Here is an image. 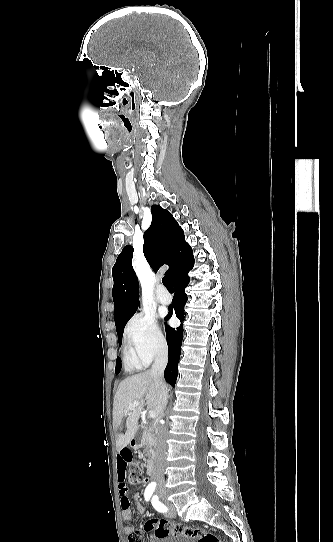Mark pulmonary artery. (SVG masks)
<instances>
[{
  "mask_svg": "<svg viewBox=\"0 0 333 542\" xmlns=\"http://www.w3.org/2000/svg\"><path fill=\"white\" fill-rule=\"evenodd\" d=\"M157 291L159 293V301L163 305H169L171 303V296H170V290L167 288L166 285L161 284L158 286Z\"/></svg>",
  "mask_w": 333,
  "mask_h": 542,
  "instance_id": "e3ab8cb5",
  "label": "pulmonary artery"
}]
</instances>
